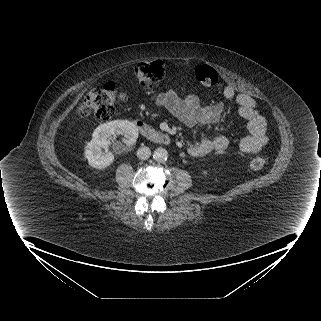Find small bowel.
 <instances>
[{
    "label": "small bowel",
    "instance_id": "obj_1",
    "mask_svg": "<svg viewBox=\"0 0 321 321\" xmlns=\"http://www.w3.org/2000/svg\"><path fill=\"white\" fill-rule=\"evenodd\" d=\"M224 96L238 104L239 116L247 123L249 134L239 142L240 150L245 154L259 152L268 142L267 122L257 109L256 101L246 93H237L233 87H226ZM156 103L166 108L174 117L188 127L207 126L220 121L224 111L222 103L202 106L193 94L183 97L173 91L160 93ZM229 145L227 137L217 135L204 136L196 144L188 147V153L194 157H202L211 152H224Z\"/></svg>",
    "mask_w": 321,
    "mask_h": 321
}]
</instances>
